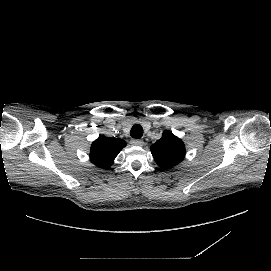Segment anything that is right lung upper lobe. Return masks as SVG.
I'll return each mask as SVG.
<instances>
[{"label": "right lung upper lobe", "instance_id": "1", "mask_svg": "<svg viewBox=\"0 0 271 271\" xmlns=\"http://www.w3.org/2000/svg\"><path fill=\"white\" fill-rule=\"evenodd\" d=\"M125 146L126 142L122 139L100 137L92 143L91 162L98 167L109 169L115 157Z\"/></svg>", "mask_w": 271, "mask_h": 271}]
</instances>
